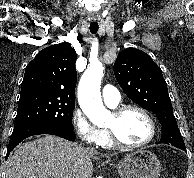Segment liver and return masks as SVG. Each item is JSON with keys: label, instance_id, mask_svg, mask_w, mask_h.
I'll return each instance as SVG.
<instances>
[{"label": "liver", "instance_id": "obj_1", "mask_svg": "<svg viewBox=\"0 0 194 178\" xmlns=\"http://www.w3.org/2000/svg\"><path fill=\"white\" fill-rule=\"evenodd\" d=\"M96 155V151L45 135L17 148L7 161L6 178H91Z\"/></svg>", "mask_w": 194, "mask_h": 178}]
</instances>
